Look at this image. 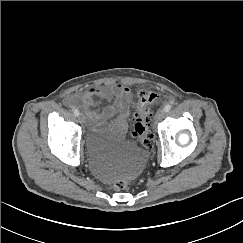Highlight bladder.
<instances>
[{
    "label": "bladder",
    "mask_w": 243,
    "mask_h": 243,
    "mask_svg": "<svg viewBox=\"0 0 243 243\" xmlns=\"http://www.w3.org/2000/svg\"><path fill=\"white\" fill-rule=\"evenodd\" d=\"M90 150L99 155L113 152L117 156V175L133 176L143 166L139 147L124 136L113 119L103 118L91 124L86 135Z\"/></svg>",
    "instance_id": "obj_1"
}]
</instances>
